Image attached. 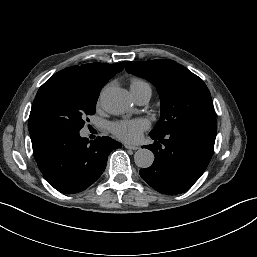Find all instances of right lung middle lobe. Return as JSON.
<instances>
[{"label":"right lung middle lobe","mask_w":257,"mask_h":257,"mask_svg":"<svg viewBox=\"0 0 257 257\" xmlns=\"http://www.w3.org/2000/svg\"><path fill=\"white\" fill-rule=\"evenodd\" d=\"M99 92L62 77L52 76L38 90L29 116V132H79L96 111Z\"/></svg>","instance_id":"dd1d6c3e"}]
</instances>
